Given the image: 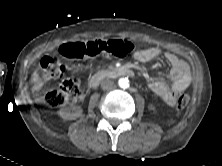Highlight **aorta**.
Instances as JSON below:
<instances>
[{
	"label": "aorta",
	"instance_id": "obj_1",
	"mask_svg": "<svg viewBox=\"0 0 222 166\" xmlns=\"http://www.w3.org/2000/svg\"><path fill=\"white\" fill-rule=\"evenodd\" d=\"M118 84L121 88L126 89L129 87V80L127 78H120Z\"/></svg>",
	"mask_w": 222,
	"mask_h": 166
}]
</instances>
